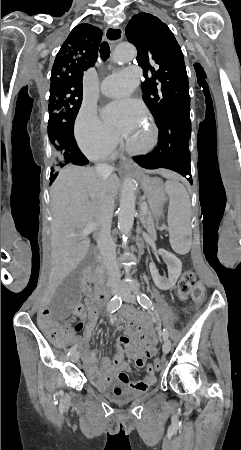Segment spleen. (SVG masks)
I'll return each mask as SVG.
<instances>
[{"label": "spleen", "mask_w": 241, "mask_h": 450, "mask_svg": "<svg viewBox=\"0 0 241 450\" xmlns=\"http://www.w3.org/2000/svg\"><path fill=\"white\" fill-rule=\"evenodd\" d=\"M164 178H167L165 182V190L169 196L168 204V218L167 225L171 229L170 244L172 250L176 254H188L190 252L192 240H191V230L189 210H190V198L189 194L178 180L171 178L169 174H163ZM170 211H181V212H170Z\"/></svg>", "instance_id": "obj_1"}]
</instances>
